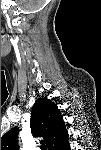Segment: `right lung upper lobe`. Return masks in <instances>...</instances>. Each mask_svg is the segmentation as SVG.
Returning a JSON list of instances; mask_svg holds the SVG:
<instances>
[{"label": "right lung upper lobe", "mask_w": 101, "mask_h": 150, "mask_svg": "<svg viewBox=\"0 0 101 150\" xmlns=\"http://www.w3.org/2000/svg\"><path fill=\"white\" fill-rule=\"evenodd\" d=\"M31 131L33 136L46 139L49 150H61L68 142V132L57 106L44 98L37 99L31 111ZM18 129L9 130L1 138V150H17Z\"/></svg>", "instance_id": "obj_1"}]
</instances>
